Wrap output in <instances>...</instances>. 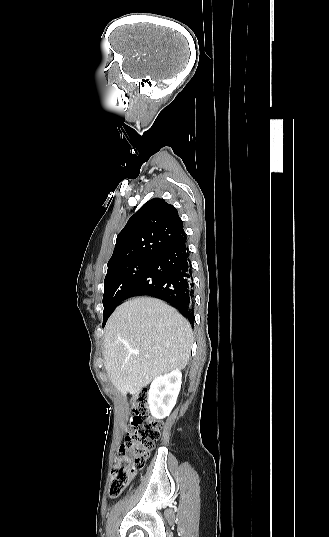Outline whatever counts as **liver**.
Segmentation results:
<instances>
[{
  "mask_svg": "<svg viewBox=\"0 0 329 537\" xmlns=\"http://www.w3.org/2000/svg\"><path fill=\"white\" fill-rule=\"evenodd\" d=\"M192 341L191 326L176 309L155 298L130 299L105 327L107 375L118 391L137 395L152 379L184 369Z\"/></svg>",
  "mask_w": 329,
  "mask_h": 537,
  "instance_id": "obj_1",
  "label": "liver"
}]
</instances>
